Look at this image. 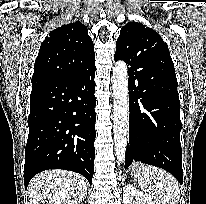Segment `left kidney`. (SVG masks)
Segmentation results:
<instances>
[{
	"mask_svg": "<svg viewBox=\"0 0 206 204\" xmlns=\"http://www.w3.org/2000/svg\"><path fill=\"white\" fill-rule=\"evenodd\" d=\"M123 204H155L147 195L139 192L133 185L123 188Z\"/></svg>",
	"mask_w": 206,
	"mask_h": 204,
	"instance_id": "obj_1",
	"label": "left kidney"
}]
</instances>
